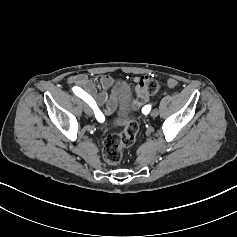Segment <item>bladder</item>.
Returning <instances> with one entry per match:
<instances>
[{
  "label": "bladder",
  "instance_id": "bladder-1",
  "mask_svg": "<svg viewBox=\"0 0 237 237\" xmlns=\"http://www.w3.org/2000/svg\"><path fill=\"white\" fill-rule=\"evenodd\" d=\"M130 111V106H129V95L126 92L125 93V99H124V106H123V112H129Z\"/></svg>",
  "mask_w": 237,
  "mask_h": 237
}]
</instances>
